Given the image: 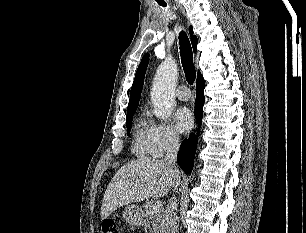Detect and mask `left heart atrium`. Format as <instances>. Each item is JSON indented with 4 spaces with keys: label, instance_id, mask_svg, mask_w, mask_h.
<instances>
[{
    "label": "left heart atrium",
    "instance_id": "obj_1",
    "mask_svg": "<svg viewBox=\"0 0 306 233\" xmlns=\"http://www.w3.org/2000/svg\"><path fill=\"white\" fill-rule=\"evenodd\" d=\"M176 128L179 132H188L193 126V116L186 107L178 108L174 113Z\"/></svg>",
    "mask_w": 306,
    "mask_h": 233
}]
</instances>
